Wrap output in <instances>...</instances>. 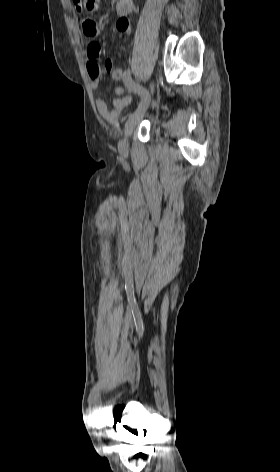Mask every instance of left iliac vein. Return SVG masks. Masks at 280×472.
<instances>
[{
    "label": "left iliac vein",
    "mask_w": 280,
    "mask_h": 472,
    "mask_svg": "<svg viewBox=\"0 0 280 472\" xmlns=\"http://www.w3.org/2000/svg\"><path fill=\"white\" fill-rule=\"evenodd\" d=\"M153 90H154V84L153 82H151L150 84V96H148V101L147 103L145 104V106H143L142 108H139L138 110H136L135 112H133L126 124H125V134H124V139L121 140L120 144H119V147L122 151H126L128 149V139L130 137V135L132 134L133 130L135 129V127L141 122V120L143 119L145 113H146V110L148 108V105L150 103V97H151V94L153 93Z\"/></svg>",
    "instance_id": "left-iliac-vein-1"
}]
</instances>
